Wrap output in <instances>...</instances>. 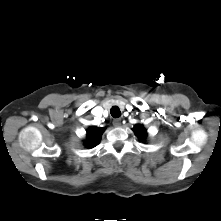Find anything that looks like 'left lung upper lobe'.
<instances>
[{"label":"left lung upper lobe","mask_w":221,"mask_h":221,"mask_svg":"<svg viewBox=\"0 0 221 221\" xmlns=\"http://www.w3.org/2000/svg\"><path fill=\"white\" fill-rule=\"evenodd\" d=\"M133 131L136 133V135L138 136L140 141H143L146 138V136H147L146 130L140 124H137L134 127Z\"/></svg>","instance_id":"left-lung-upper-lobe-1"}]
</instances>
